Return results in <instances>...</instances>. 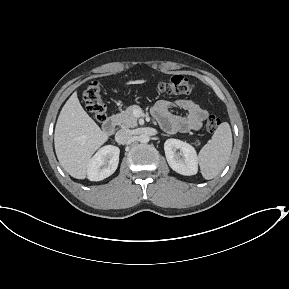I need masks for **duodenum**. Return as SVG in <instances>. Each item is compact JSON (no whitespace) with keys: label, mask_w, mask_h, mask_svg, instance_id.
Wrapping results in <instances>:
<instances>
[{"label":"duodenum","mask_w":289,"mask_h":289,"mask_svg":"<svg viewBox=\"0 0 289 289\" xmlns=\"http://www.w3.org/2000/svg\"><path fill=\"white\" fill-rule=\"evenodd\" d=\"M103 130L111 135L115 132L116 130V121L114 118H108L107 120H105V122L103 123Z\"/></svg>","instance_id":"1"}]
</instances>
